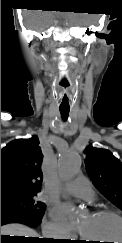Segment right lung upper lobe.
<instances>
[{
    "label": "right lung upper lobe",
    "instance_id": "cb5924a9",
    "mask_svg": "<svg viewBox=\"0 0 122 243\" xmlns=\"http://www.w3.org/2000/svg\"><path fill=\"white\" fill-rule=\"evenodd\" d=\"M42 159L37 136L14 140L1 149V197L36 195L43 179Z\"/></svg>",
    "mask_w": 122,
    "mask_h": 243
}]
</instances>
